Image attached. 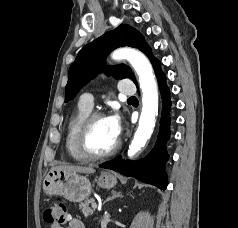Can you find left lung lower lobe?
<instances>
[{
  "instance_id": "1",
  "label": "left lung lower lobe",
  "mask_w": 238,
  "mask_h": 228,
  "mask_svg": "<svg viewBox=\"0 0 238 228\" xmlns=\"http://www.w3.org/2000/svg\"><path fill=\"white\" fill-rule=\"evenodd\" d=\"M149 59L158 80L163 102L160 129L156 144L151 152L143 159L131 162L122 160V157L118 156L100 167L118 171L125 176L135 177L142 182L165 190L168 185L164 167L169 157L166 151V142L170 137V91L166 85V76L161 70V62L153 54L149 56Z\"/></svg>"
}]
</instances>
